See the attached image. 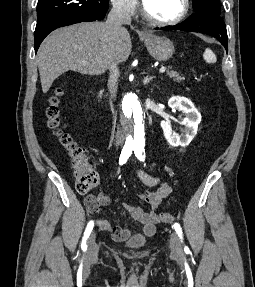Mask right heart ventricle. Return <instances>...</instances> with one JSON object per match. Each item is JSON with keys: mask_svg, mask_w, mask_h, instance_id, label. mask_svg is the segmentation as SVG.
Wrapping results in <instances>:
<instances>
[{"mask_svg": "<svg viewBox=\"0 0 255 287\" xmlns=\"http://www.w3.org/2000/svg\"><path fill=\"white\" fill-rule=\"evenodd\" d=\"M140 33V32H137ZM137 39H145V38H137ZM136 48H146V47H136ZM164 48H169V47H164Z\"/></svg>", "mask_w": 255, "mask_h": 287, "instance_id": "e07e8e85", "label": "right heart ventricle"}]
</instances>
